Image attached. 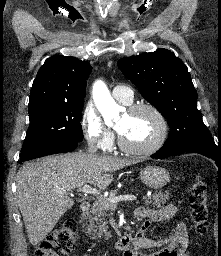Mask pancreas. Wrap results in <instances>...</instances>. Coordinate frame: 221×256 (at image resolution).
<instances>
[{
  "label": "pancreas",
  "mask_w": 221,
  "mask_h": 256,
  "mask_svg": "<svg viewBox=\"0 0 221 256\" xmlns=\"http://www.w3.org/2000/svg\"><path fill=\"white\" fill-rule=\"evenodd\" d=\"M118 190H112L110 192L109 197H114L117 194ZM145 201L146 205H152L160 207L165 204L169 200V193L166 191L165 193L159 191L155 192L151 196H144L142 198ZM112 205L105 197H98L95 200V203L91 209L92 215L89 216V221L87 223V231L89 234L93 232L96 234H92V238L103 236L106 240L112 237L111 232L108 231V225L106 217L109 216V211Z\"/></svg>",
  "instance_id": "cf45deb5"
}]
</instances>
